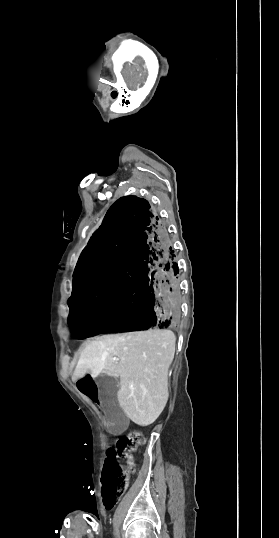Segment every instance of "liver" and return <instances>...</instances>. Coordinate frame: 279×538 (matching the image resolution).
<instances>
[{
    "mask_svg": "<svg viewBox=\"0 0 279 538\" xmlns=\"http://www.w3.org/2000/svg\"><path fill=\"white\" fill-rule=\"evenodd\" d=\"M175 342L171 330L101 336L83 350L74 378H83L88 370L91 378H120L117 396L124 414L138 426H150L167 404Z\"/></svg>",
    "mask_w": 279,
    "mask_h": 538,
    "instance_id": "liver-1",
    "label": "liver"
}]
</instances>
